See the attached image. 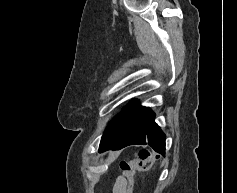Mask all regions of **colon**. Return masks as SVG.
<instances>
[{"label":"colon","mask_w":237,"mask_h":193,"mask_svg":"<svg viewBox=\"0 0 237 193\" xmlns=\"http://www.w3.org/2000/svg\"><path fill=\"white\" fill-rule=\"evenodd\" d=\"M154 159L155 156L151 151L142 150L139 152L137 157L120 162V168L127 181V193H132L135 172L148 171L151 168Z\"/></svg>","instance_id":"colon-1"}]
</instances>
